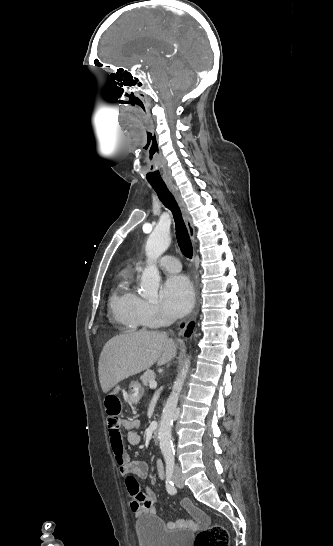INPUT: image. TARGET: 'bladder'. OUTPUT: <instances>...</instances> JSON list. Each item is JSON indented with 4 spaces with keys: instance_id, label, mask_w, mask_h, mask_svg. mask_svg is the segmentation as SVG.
Returning <instances> with one entry per match:
<instances>
[{
    "instance_id": "1",
    "label": "bladder",
    "mask_w": 333,
    "mask_h": 546,
    "mask_svg": "<svg viewBox=\"0 0 333 546\" xmlns=\"http://www.w3.org/2000/svg\"><path fill=\"white\" fill-rule=\"evenodd\" d=\"M140 546H190L193 534L188 530L171 531L157 516L141 515L135 522Z\"/></svg>"
}]
</instances>
